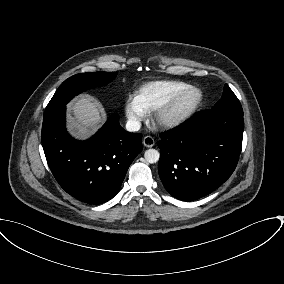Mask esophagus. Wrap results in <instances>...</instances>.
I'll return each mask as SVG.
<instances>
[{
	"label": "esophagus",
	"instance_id": "34e87169",
	"mask_svg": "<svg viewBox=\"0 0 284 284\" xmlns=\"http://www.w3.org/2000/svg\"><path fill=\"white\" fill-rule=\"evenodd\" d=\"M143 145L145 146V147H148V148H150V147H153L154 145H155V140H154V138L153 137H151V136H145L144 138H143Z\"/></svg>",
	"mask_w": 284,
	"mask_h": 284
}]
</instances>
